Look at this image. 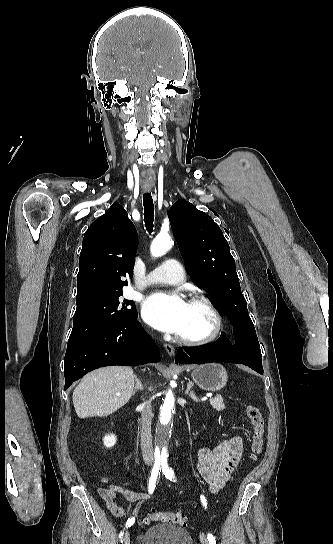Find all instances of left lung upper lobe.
<instances>
[{
    "instance_id": "obj_1",
    "label": "left lung upper lobe",
    "mask_w": 333,
    "mask_h": 544,
    "mask_svg": "<svg viewBox=\"0 0 333 544\" xmlns=\"http://www.w3.org/2000/svg\"><path fill=\"white\" fill-rule=\"evenodd\" d=\"M168 216L194 282L208 292L233 324L250 319L235 260L222 230L210 216L182 199L171 207Z\"/></svg>"
}]
</instances>
